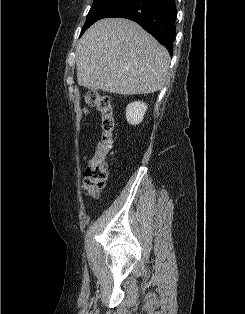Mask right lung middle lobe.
<instances>
[{"label":"right lung middle lobe","mask_w":245,"mask_h":314,"mask_svg":"<svg viewBox=\"0 0 245 314\" xmlns=\"http://www.w3.org/2000/svg\"><path fill=\"white\" fill-rule=\"evenodd\" d=\"M126 0H94L82 28L81 35L96 21L104 18L109 12Z\"/></svg>","instance_id":"1"}]
</instances>
